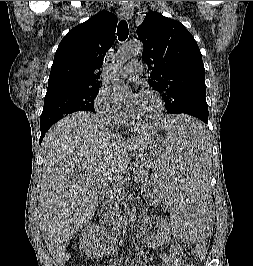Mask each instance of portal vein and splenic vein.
<instances>
[{
	"instance_id": "portal-vein-and-splenic-vein-1",
	"label": "portal vein and splenic vein",
	"mask_w": 253,
	"mask_h": 266,
	"mask_svg": "<svg viewBox=\"0 0 253 266\" xmlns=\"http://www.w3.org/2000/svg\"><path fill=\"white\" fill-rule=\"evenodd\" d=\"M138 174H141V172L140 173H138ZM91 184H96V185H98V186H101L102 185V182L100 183L99 182V179H94V180H92L91 181ZM103 186H108V184H106V183H103ZM112 192V191H111ZM141 194H142V191H141Z\"/></svg>"
}]
</instances>
